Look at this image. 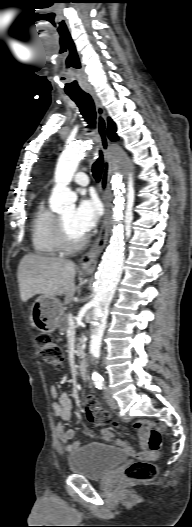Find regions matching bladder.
Segmentation results:
<instances>
[{
    "mask_svg": "<svg viewBox=\"0 0 192 527\" xmlns=\"http://www.w3.org/2000/svg\"><path fill=\"white\" fill-rule=\"evenodd\" d=\"M126 458L125 452L117 447L91 442L70 453L68 466L74 475L100 480L121 465Z\"/></svg>",
    "mask_w": 192,
    "mask_h": 527,
    "instance_id": "1",
    "label": "bladder"
}]
</instances>
